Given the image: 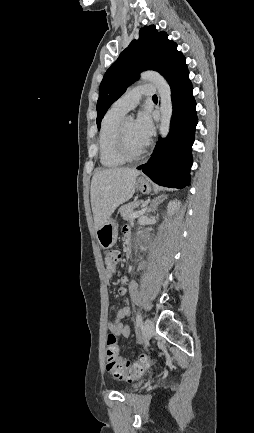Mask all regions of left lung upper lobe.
<instances>
[{
	"mask_svg": "<svg viewBox=\"0 0 254 433\" xmlns=\"http://www.w3.org/2000/svg\"><path fill=\"white\" fill-rule=\"evenodd\" d=\"M183 54L166 32H158L154 25L140 29L139 39L133 40L106 71L99 89L97 126L111 106L139 78L145 70H155L164 77Z\"/></svg>",
	"mask_w": 254,
	"mask_h": 433,
	"instance_id": "obj_1",
	"label": "left lung upper lobe"
}]
</instances>
